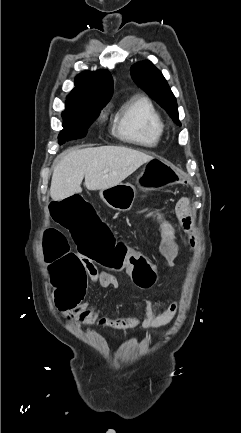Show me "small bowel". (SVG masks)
Wrapping results in <instances>:
<instances>
[{
  "instance_id": "small-bowel-1",
  "label": "small bowel",
  "mask_w": 241,
  "mask_h": 433,
  "mask_svg": "<svg viewBox=\"0 0 241 433\" xmlns=\"http://www.w3.org/2000/svg\"><path fill=\"white\" fill-rule=\"evenodd\" d=\"M175 213L178 219V227L189 236V243L191 246H194L196 243L194 236V216L188 198L182 197L177 201ZM163 223L171 222L163 221ZM173 252L176 254L177 250ZM170 253L171 252L160 251L163 266H172L173 259L170 258ZM79 259L83 266L87 268V277L97 282L102 288L116 290L119 287V281L115 274L106 269L97 268L94 262L89 261L87 257H79ZM176 311L177 304L174 302L170 304L166 310L157 314L152 302L147 301L144 311L140 315L109 318L103 317L100 310L84 302L83 305H75L74 312H64V314L68 319L82 326L97 324L102 328L111 329H126L140 326L142 330H151L170 323L175 317Z\"/></svg>"
}]
</instances>
